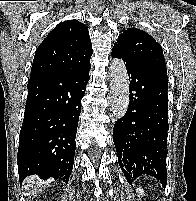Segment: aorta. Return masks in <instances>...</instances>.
Returning <instances> with one entry per match:
<instances>
[{
  "label": "aorta",
  "mask_w": 196,
  "mask_h": 201,
  "mask_svg": "<svg viewBox=\"0 0 196 201\" xmlns=\"http://www.w3.org/2000/svg\"><path fill=\"white\" fill-rule=\"evenodd\" d=\"M111 108L113 115L122 118L129 105V81L126 66L121 59L110 64Z\"/></svg>",
  "instance_id": "obj_1"
}]
</instances>
